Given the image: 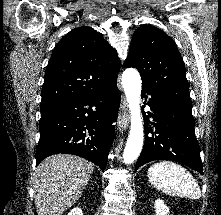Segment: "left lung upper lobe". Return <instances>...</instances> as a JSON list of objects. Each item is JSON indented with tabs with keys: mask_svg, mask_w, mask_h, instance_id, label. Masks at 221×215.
Masks as SVG:
<instances>
[{
	"mask_svg": "<svg viewBox=\"0 0 221 215\" xmlns=\"http://www.w3.org/2000/svg\"><path fill=\"white\" fill-rule=\"evenodd\" d=\"M125 66L138 69L142 86L152 92L190 104L183 60L174 41L161 29L151 25L137 28Z\"/></svg>",
	"mask_w": 221,
	"mask_h": 215,
	"instance_id": "5c2ea615",
	"label": "left lung upper lobe"
}]
</instances>
